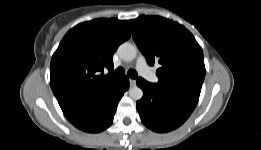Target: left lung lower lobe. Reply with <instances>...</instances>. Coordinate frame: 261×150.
<instances>
[{
	"label": "left lung lower lobe",
	"mask_w": 261,
	"mask_h": 150,
	"mask_svg": "<svg viewBox=\"0 0 261 150\" xmlns=\"http://www.w3.org/2000/svg\"><path fill=\"white\" fill-rule=\"evenodd\" d=\"M137 85L143 97L137 102V110L144 125L156 132L176 129L190 116L199 95L182 87H162L142 78Z\"/></svg>",
	"instance_id": "obj_1"
}]
</instances>
